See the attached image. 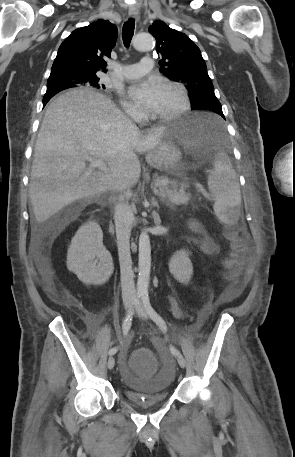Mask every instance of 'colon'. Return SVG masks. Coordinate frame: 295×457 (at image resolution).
Masks as SVG:
<instances>
[{
	"label": "colon",
	"mask_w": 295,
	"mask_h": 457,
	"mask_svg": "<svg viewBox=\"0 0 295 457\" xmlns=\"http://www.w3.org/2000/svg\"><path fill=\"white\" fill-rule=\"evenodd\" d=\"M230 241V254L225 261L227 276L235 278L240 271L247 255L250 238L245 232L230 231L227 234ZM133 372H156L157 364L152 357V346H133L131 352Z\"/></svg>",
	"instance_id": "5ec220e1"
}]
</instances>
